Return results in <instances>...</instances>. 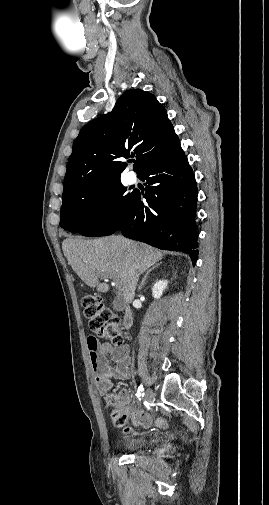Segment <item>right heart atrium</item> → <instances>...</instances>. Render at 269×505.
<instances>
[{"mask_svg": "<svg viewBox=\"0 0 269 505\" xmlns=\"http://www.w3.org/2000/svg\"><path fill=\"white\" fill-rule=\"evenodd\" d=\"M116 200L112 194H106L98 199L94 207L95 216L99 219L108 218L114 211Z\"/></svg>", "mask_w": 269, "mask_h": 505, "instance_id": "right-heart-atrium-1", "label": "right heart atrium"}]
</instances>
